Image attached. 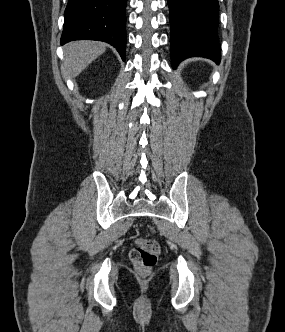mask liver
Returning a JSON list of instances; mask_svg holds the SVG:
<instances>
[{"instance_id":"obj_1","label":"liver","mask_w":285,"mask_h":332,"mask_svg":"<svg viewBox=\"0 0 285 332\" xmlns=\"http://www.w3.org/2000/svg\"><path fill=\"white\" fill-rule=\"evenodd\" d=\"M106 50V44L97 41L80 40L64 47L62 70L66 77H77L87 66Z\"/></svg>"}]
</instances>
